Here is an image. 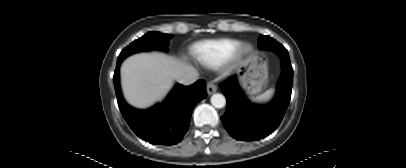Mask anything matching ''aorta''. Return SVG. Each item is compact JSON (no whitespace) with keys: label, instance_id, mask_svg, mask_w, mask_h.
Instances as JSON below:
<instances>
[{"label":"aorta","instance_id":"762f6f07","mask_svg":"<svg viewBox=\"0 0 406 168\" xmlns=\"http://www.w3.org/2000/svg\"><path fill=\"white\" fill-rule=\"evenodd\" d=\"M211 104L215 108H223L226 105V98L224 95L216 93L211 96Z\"/></svg>","mask_w":406,"mask_h":168}]
</instances>
